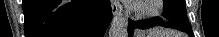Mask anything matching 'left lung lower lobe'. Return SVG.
Here are the masks:
<instances>
[{
	"mask_svg": "<svg viewBox=\"0 0 219 37\" xmlns=\"http://www.w3.org/2000/svg\"><path fill=\"white\" fill-rule=\"evenodd\" d=\"M164 26V27H169V28H174V29H178V30H181L183 32H185L183 29L175 26L174 24H171V23H166L164 22L161 18L159 17H155L149 21H138V22H134L132 21L131 19H129L128 21V36L129 37H132L133 36V33H134V28L137 27L139 29H146V28H149V27H153V26ZM187 33L190 37H194L193 35V32H185Z\"/></svg>",
	"mask_w": 219,
	"mask_h": 37,
	"instance_id": "1",
	"label": "left lung lower lobe"
}]
</instances>
